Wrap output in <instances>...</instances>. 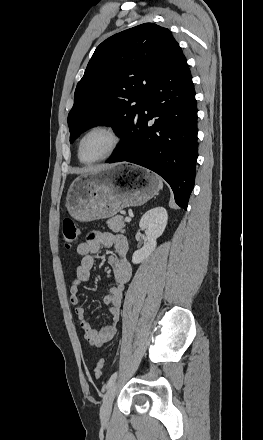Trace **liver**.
Segmentation results:
<instances>
[{
  "label": "liver",
  "mask_w": 263,
  "mask_h": 440,
  "mask_svg": "<svg viewBox=\"0 0 263 440\" xmlns=\"http://www.w3.org/2000/svg\"><path fill=\"white\" fill-rule=\"evenodd\" d=\"M103 167H105V166H103ZM100 168H102V167H98V168H96V169H100Z\"/></svg>",
  "instance_id": "liver-1"
}]
</instances>
